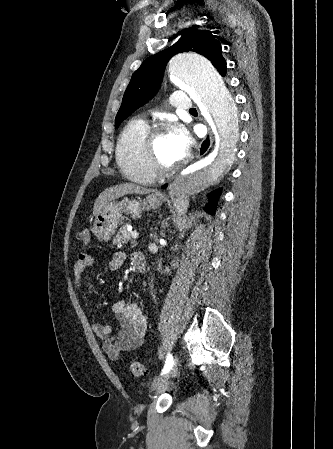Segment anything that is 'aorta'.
<instances>
[{"label":"aorta","instance_id":"762f6f07","mask_svg":"<svg viewBox=\"0 0 333 449\" xmlns=\"http://www.w3.org/2000/svg\"><path fill=\"white\" fill-rule=\"evenodd\" d=\"M168 70L174 85L194 96L204 116L217 128L220 147L194 163L169 185V194L178 214L189 207V198L221 181L226 167L234 160L237 142V113L230 91L209 60L195 52L171 57Z\"/></svg>","mask_w":333,"mask_h":449}]
</instances>
